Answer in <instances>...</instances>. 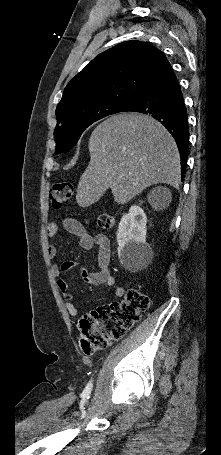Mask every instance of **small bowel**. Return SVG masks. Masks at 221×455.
<instances>
[{"instance_id": "obj_1", "label": "small bowel", "mask_w": 221, "mask_h": 455, "mask_svg": "<svg viewBox=\"0 0 221 455\" xmlns=\"http://www.w3.org/2000/svg\"><path fill=\"white\" fill-rule=\"evenodd\" d=\"M65 228L72 234H74L79 241V246L84 250H90L94 245L98 249L97 253V269L95 271H88L82 268L80 276L82 280L90 286H101L107 285L110 287L115 286V278L110 270V242L106 235L97 234L91 236L86 228L78 220L68 218L64 220ZM47 234L49 237H55L58 234V226L56 224H50L47 228ZM59 250L55 245H50L48 248V255L51 259L58 257ZM77 263L75 261H65L61 265H54L52 267V273L58 277L57 285L61 293L63 294L64 303L68 313L72 316H76L79 313L78 307L75 305V296L70 290L64 275L75 268ZM124 289L122 287H115L114 294L120 298L124 296Z\"/></svg>"}]
</instances>
